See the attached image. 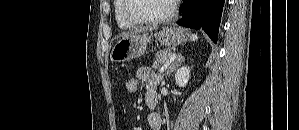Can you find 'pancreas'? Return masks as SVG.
<instances>
[{"mask_svg":"<svg viewBox=\"0 0 299 130\" xmlns=\"http://www.w3.org/2000/svg\"><path fill=\"white\" fill-rule=\"evenodd\" d=\"M172 51L170 49H165V50H161L159 52H157L155 54V60L153 62V67L154 68H158V67H163L165 65H167L170 56L172 55ZM173 65H168V69H170Z\"/></svg>","mask_w":299,"mask_h":130,"instance_id":"pancreas-1","label":"pancreas"}]
</instances>
